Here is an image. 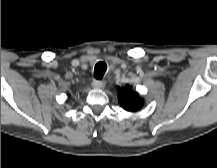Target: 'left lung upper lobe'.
Masks as SVG:
<instances>
[{"mask_svg":"<svg viewBox=\"0 0 217 168\" xmlns=\"http://www.w3.org/2000/svg\"><path fill=\"white\" fill-rule=\"evenodd\" d=\"M118 90L119 103L125 110L135 112L143 106V100L133 91L132 86L127 84L123 88L118 87Z\"/></svg>","mask_w":217,"mask_h":168,"instance_id":"left-lung-upper-lobe-1","label":"left lung upper lobe"}]
</instances>
